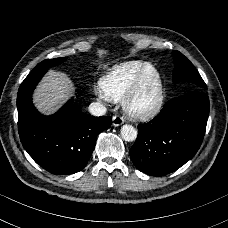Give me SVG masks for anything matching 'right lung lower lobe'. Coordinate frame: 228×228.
<instances>
[{"mask_svg":"<svg viewBox=\"0 0 228 228\" xmlns=\"http://www.w3.org/2000/svg\"><path fill=\"white\" fill-rule=\"evenodd\" d=\"M48 69L31 71L17 96L18 130L22 145L42 168L53 174H73L86 166L97 135L111 125L110 116L92 117L68 101L51 116L39 113L32 93Z\"/></svg>","mask_w":228,"mask_h":228,"instance_id":"right-lung-lower-lobe-1","label":"right lung lower lobe"}]
</instances>
